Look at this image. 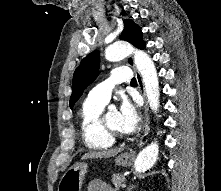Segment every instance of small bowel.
<instances>
[{
  "mask_svg": "<svg viewBox=\"0 0 221 191\" xmlns=\"http://www.w3.org/2000/svg\"><path fill=\"white\" fill-rule=\"evenodd\" d=\"M88 191H115V189L104 180L94 179L88 183Z\"/></svg>",
  "mask_w": 221,
  "mask_h": 191,
  "instance_id": "obj_1",
  "label": "small bowel"
}]
</instances>
